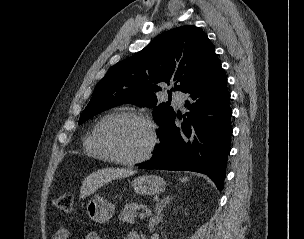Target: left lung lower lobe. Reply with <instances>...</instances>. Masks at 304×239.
<instances>
[{"label":"left lung lower lobe","instance_id":"0a47b994","mask_svg":"<svg viewBox=\"0 0 304 239\" xmlns=\"http://www.w3.org/2000/svg\"><path fill=\"white\" fill-rule=\"evenodd\" d=\"M183 116L174 113L160 128V144L145 169L185 170L206 174L222 190L232 135L227 81L216 54L187 89ZM176 118L182 120L176 126Z\"/></svg>","mask_w":304,"mask_h":239}]
</instances>
